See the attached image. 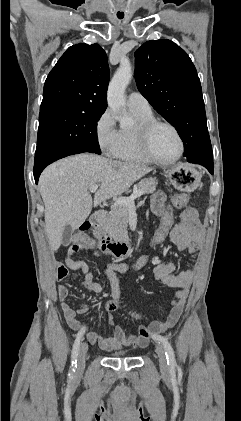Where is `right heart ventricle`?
<instances>
[{"mask_svg": "<svg viewBox=\"0 0 241 421\" xmlns=\"http://www.w3.org/2000/svg\"><path fill=\"white\" fill-rule=\"evenodd\" d=\"M136 118V125L132 128H122L119 131L118 144L114 157L121 161L150 164L151 161L143 154L138 142V127L149 120L154 119L152 112L131 110Z\"/></svg>", "mask_w": 241, "mask_h": 421, "instance_id": "1", "label": "right heart ventricle"}]
</instances>
